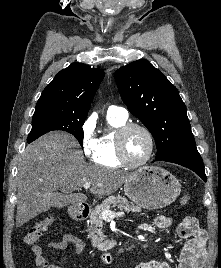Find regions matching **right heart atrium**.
<instances>
[{"label": "right heart atrium", "instance_id": "d8ad5b80", "mask_svg": "<svg viewBox=\"0 0 221 268\" xmlns=\"http://www.w3.org/2000/svg\"><path fill=\"white\" fill-rule=\"evenodd\" d=\"M95 119L87 118L81 127V146L85 156L91 160L94 159L97 149V138L95 137Z\"/></svg>", "mask_w": 221, "mask_h": 268}]
</instances>
